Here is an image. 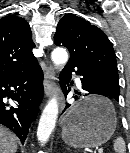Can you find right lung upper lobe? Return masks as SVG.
I'll return each instance as SVG.
<instances>
[{
	"label": "right lung upper lobe",
	"instance_id": "right-lung-upper-lobe-1",
	"mask_svg": "<svg viewBox=\"0 0 130 153\" xmlns=\"http://www.w3.org/2000/svg\"><path fill=\"white\" fill-rule=\"evenodd\" d=\"M26 20L16 15L0 19V77L30 71L38 66Z\"/></svg>",
	"mask_w": 130,
	"mask_h": 153
}]
</instances>
